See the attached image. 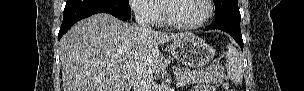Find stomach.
I'll return each instance as SVG.
<instances>
[{"mask_svg": "<svg viewBox=\"0 0 304 91\" xmlns=\"http://www.w3.org/2000/svg\"><path fill=\"white\" fill-rule=\"evenodd\" d=\"M169 50L178 62L194 68L205 66L213 60L215 55V50L196 36L173 41Z\"/></svg>", "mask_w": 304, "mask_h": 91, "instance_id": "1", "label": "stomach"}]
</instances>
